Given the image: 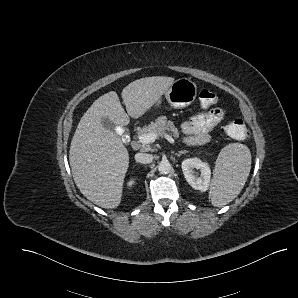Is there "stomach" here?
I'll return each mask as SVG.
<instances>
[{"label":"stomach","instance_id":"1","mask_svg":"<svg viewBox=\"0 0 298 298\" xmlns=\"http://www.w3.org/2000/svg\"><path fill=\"white\" fill-rule=\"evenodd\" d=\"M197 93L198 90L195 82L188 78H179L172 82L164 95L167 103L172 108L183 109L190 106L196 100Z\"/></svg>","mask_w":298,"mask_h":298}]
</instances>
